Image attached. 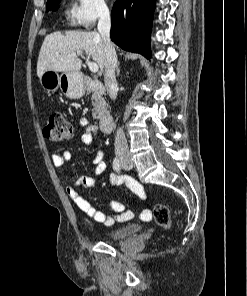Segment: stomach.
Segmentation results:
<instances>
[{"instance_id": "1", "label": "stomach", "mask_w": 247, "mask_h": 296, "mask_svg": "<svg viewBox=\"0 0 247 296\" xmlns=\"http://www.w3.org/2000/svg\"><path fill=\"white\" fill-rule=\"evenodd\" d=\"M39 82L48 93L55 92L58 88L69 98L78 99L83 96V83L78 73L47 70L40 77Z\"/></svg>"}]
</instances>
